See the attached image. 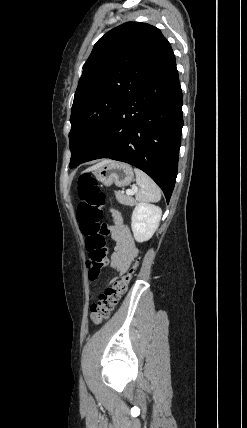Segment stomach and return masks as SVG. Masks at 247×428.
<instances>
[{"label":"stomach","mask_w":247,"mask_h":428,"mask_svg":"<svg viewBox=\"0 0 247 428\" xmlns=\"http://www.w3.org/2000/svg\"><path fill=\"white\" fill-rule=\"evenodd\" d=\"M94 175L105 186L115 184L117 187L129 185L133 178V170L129 164L110 161L94 169Z\"/></svg>","instance_id":"obj_1"}]
</instances>
